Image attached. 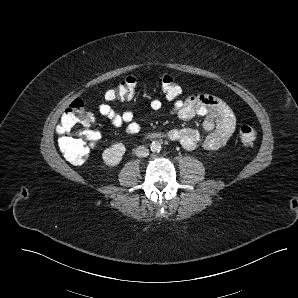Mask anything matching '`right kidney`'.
Masks as SVG:
<instances>
[{"mask_svg": "<svg viewBox=\"0 0 298 298\" xmlns=\"http://www.w3.org/2000/svg\"><path fill=\"white\" fill-rule=\"evenodd\" d=\"M126 148L122 143L113 144L111 147L105 149L102 153V159L108 166H115L120 163Z\"/></svg>", "mask_w": 298, "mask_h": 298, "instance_id": "ca27d5eb", "label": "right kidney"}]
</instances>
